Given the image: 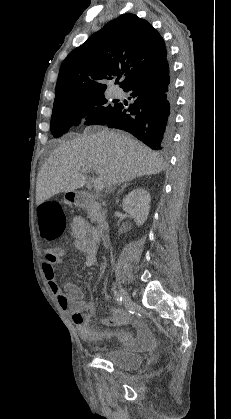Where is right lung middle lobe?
<instances>
[{"label":"right lung middle lobe","instance_id":"dd1d6c3e","mask_svg":"<svg viewBox=\"0 0 231 419\" xmlns=\"http://www.w3.org/2000/svg\"><path fill=\"white\" fill-rule=\"evenodd\" d=\"M107 102L104 91H101L54 103L50 127L53 136L57 138L68 132L89 113L85 124H101L119 106V103L107 105Z\"/></svg>","mask_w":231,"mask_h":419}]
</instances>
